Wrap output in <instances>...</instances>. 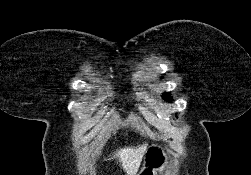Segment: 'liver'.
<instances>
[{"instance_id": "liver-1", "label": "liver", "mask_w": 251, "mask_h": 175, "mask_svg": "<svg viewBox=\"0 0 251 175\" xmlns=\"http://www.w3.org/2000/svg\"><path fill=\"white\" fill-rule=\"evenodd\" d=\"M147 145L148 143H142V145H136V147H122V149H117L110 159L117 157L127 175H136Z\"/></svg>"}]
</instances>
